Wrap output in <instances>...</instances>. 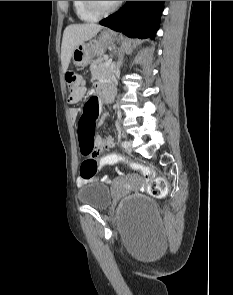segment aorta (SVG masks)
Masks as SVG:
<instances>
[{"mask_svg":"<svg viewBox=\"0 0 233 295\" xmlns=\"http://www.w3.org/2000/svg\"><path fill=\"white\" fill-rule=\"evenodd\" d=\"M121 64H122V61H121V59H120V60L117 62V64H116V70H117V71L119 70Z\"/></svg>","mask_w":233,"mask_h":295,"instance_id":"aorta-1","label":"aorta"}]
</instances>
